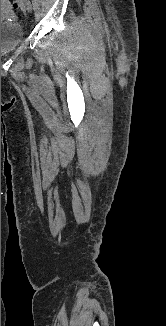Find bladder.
<instances>
[{"label": "bladder", "mask_w": 166, "mask_h": 326, "mask_svg": "<svg viewBox=\"0 0 166 326\" xmlns=\"http://www.w3.org/2000/svg\"><path fill=\"white\" fill-rule=\"evenodd\" d=\"M3 2L4 0H1V10H10V6ZM22 39L23 29L18 23L1 21V56L15 50L22 42Z\"/></svg>", "instance_id": "bladder-1"}]
</instances>
